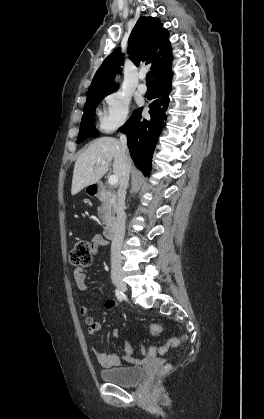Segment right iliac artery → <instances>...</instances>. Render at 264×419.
<instances>
[{
	"label": "right iliac artery",
	"mask_w": 264,
	"mask_h": 419,
	"mask_svg": "<svg viewBox=\"0 0 264 419\" xmlns=\"http://www.w3.org/2000/svg\"><path fill=\"white\" fill-rule=\"evenodd\" d=\"M115 294H116V297H117V299H118L119 301H122V300H123V298H124V294L122 293V291H120L119 289H116V290H115Z\"/></svg>",
	"instance_id": "right-iliac-artery-1"
}]
</instances>
